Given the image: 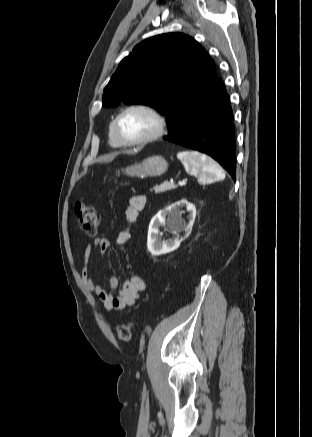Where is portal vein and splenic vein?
<instances>
[{"label":"portal vein and splenic vein","instance_id":"1","mask_svg":"<svg viewBox=\"0 0 312 437\" xmlns=\"http://www.w3.org/2000/svg\"><path fill=\"white\" fill-rule=\"evenodd\" d=\"M178 184L179 185H184V184H186V180L179 181Z\"/></svg>","mask_w":312,"mask_h":437}]
</instances>
